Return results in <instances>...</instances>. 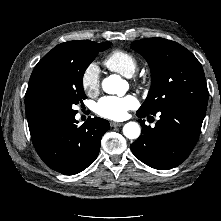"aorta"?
<instances>
[{"label":"aorta","instance_id":"obj_1","mask_svg":"<svg viewBox=\"0 0 221 221\" xmlns=\"http://www.w3.org/2000/svg\"><path fill=\"white\" fill-rule=\"evenodd\" d=\"M102 88L108 94L124 95L127 91V82L119 75H110L102 81ZM123 134L128 139H137L141 128L136 122H128L123 127Z\"/></svg>","mask_w":221,"mask_h":221}]
</instances>
